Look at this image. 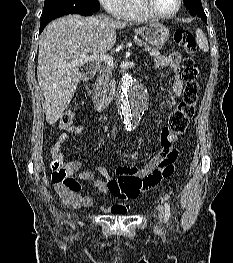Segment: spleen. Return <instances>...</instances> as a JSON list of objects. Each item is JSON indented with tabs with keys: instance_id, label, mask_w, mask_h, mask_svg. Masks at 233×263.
Instances as JSON below:
<instances>
[{
	"instance_id": "obj_1",
	"label": "spleen",
	"mask_w": 233,
	"mask_h": 263,
	"mask_svg": "<svg viewBox=\"0 0 233 263\" xmlns=\"http://www.w3.org/2000/svg\"><path fill=\"white\" fill-rule=\"evenodd\" d=\"M196 41L200 49H202L204 52H208L209 46L206 36L200 29L196 30Z\"/></svg>"
}]
</instances>
